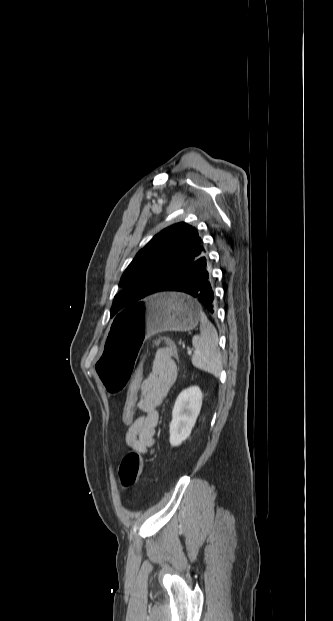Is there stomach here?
Returning a JSON list of instances; mask_svg holds the SVG:
<instances>
[{"mask_svg": "<svg viewBox=\"0 0 333 621\" xmlns=\"http://www.w3.org/2000/svg\"><path fill=\"white\" fill-rule=\"evenodd\" d=\"M203 315L191 297L181 293H161L115 317L105 336L103 354L97 365L108 396L117 399L127 388L142 354L144 338L161 331L192 330Z\"/></svg>", "mask_w": 333, "mask_h": 621, "instance_id": "1", "label": "stomach"}]
</instances>
